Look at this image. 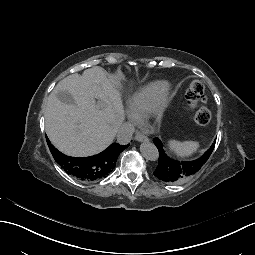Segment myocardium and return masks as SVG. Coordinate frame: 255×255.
<instances>
[{"label": "myocardium", "mask_w": 255, "mask_h": 255, "mask_svg": "<svg viewBox=\"0 0 255 255\" xmlns=\"http://www.w3.org/2000/svg\"><path fill=\"white\" fill-rule=\"evenodd\" d=\"M171 100H172V95H171L170 89L165 88L156 104V107L154 110V117H156L157 119L160 118L164 110L169 106Z\"/></svg>", "instance_id": "1"}]
</instances>
